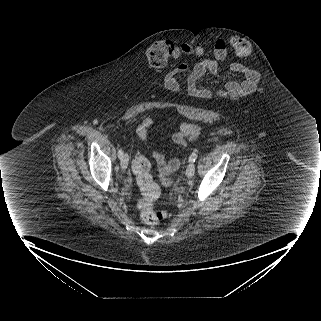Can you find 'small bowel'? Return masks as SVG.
<instances>
[{
    "label": "small bowel",
    "mask_w": 321,
    "mask_h": 321,
    "mask_svg": "<svg viewBox=\"0 0 321 321\" xmlns=\"http://www.w3.org/2000/svg\"><path fill=\"white\" fill-rule=\"evenodd\" d=\"M227 56L228 52L225 42L219 39L215 42L212 59L199 62L192 68H190L188 64H181L165 76V82L169 88L178 89V77L187 73L186 83L189 88L188 95L191 96L192 99H203L204 97L214 98L215 95L220 97L221 95L227 94L232 97L243 98L258 89L261 79L260 72L255 69H251L250 66L239 61H234L230 65L231 72L237 76L246 78V80L241 81L240 84L229 82L226 84L225 88L217 87L215 91L201 90L200 92H196L195 85L197 81L207 73H217L220 68V64L226 61ZM153 124L154 121L151 117H145L137 127L136 135L141 141L146 142L148 140ZM200 133L201 128L199 126L182 123L179 126L178 131L173 134L172 140L177 145L186 146L188 141L197 137ZM151 156L156 162L161 176H166L177 171L180 166V160L178 158L167 160L162 151L152 150Z\"/></svg>",
    "instance_id": "obj_1"
}]
</instances>
